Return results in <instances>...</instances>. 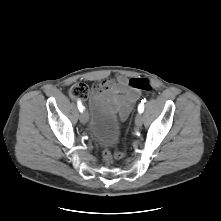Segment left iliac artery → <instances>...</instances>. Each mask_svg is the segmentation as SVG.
<instances>
[{"instance_id": "obj_1", "label": "left iliac artery", "mask_w": 221, "mask_h": 221, "mask_svg": "<svg viewBox=\"0 0 221 221\" xmlns=\"http://www.w3.org/2000/svg\"><path fill=\"white\" fill-rule=\"evenodd\" d=\"M144 102L145 101H142L141 104L138 106L139 113H142L144 111V106H143Z\"/></svg>"}]
</instances>
